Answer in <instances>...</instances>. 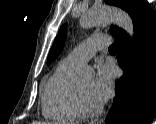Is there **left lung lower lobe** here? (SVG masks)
Returning a JSON list of instances; mask_svg holds the SVG:
<instances>
[{"label":"left lung lower lobe","mask_w":156,"mask_h":124,"mask_svg":"<svg viewBox=\"0 0 156 124\" xmlns=\"http://www.w3.org/2000/svg\"><path fill=\"white\" fill-rule=\"evenodd\" d=\"M134 42L125 31L115 37L123 76L107 124H149L156 106V12L145 0L133 18Z\"/></svg>","instance_id":"0a47b994"}]
</instances>
